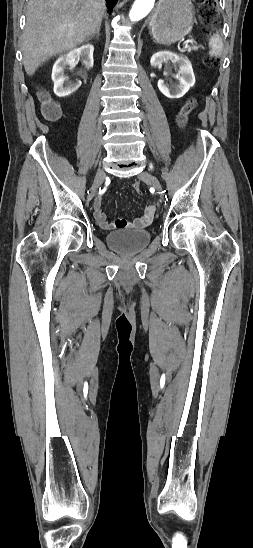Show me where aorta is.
Returning a JSON list of instances; mask_svg holds the SVG:
<instances>
[{"instance_id": "obj_1", "label": "aorta", "mask_w": 253, "mask_h": 548, "mask_svg": "<svg viewBox=\"0 0 253 548\" xmlns=\"http://www.w3.org/2000/svg\"><path fill=\"white\" fill-rule=\"evenodd\" d=\"M155 0H135L130 12L129 18L131 21H139L143 19L154 7Z\"/></svg>"}]
</instances>
